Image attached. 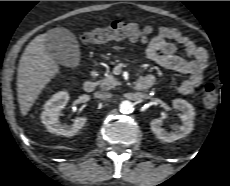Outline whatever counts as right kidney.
I'll return each mask as SVG.
<instances>
[{
  "mask_svg": "<svg viewBox=\"0 0 230 186\" xmlns=\"http://www.w3.org/2000/svg\"><path fill=\"white\" fill-rule=\"evenodd\" d=\"M69 101V94L66 91H60L54 94L44 105V111L41 114L42 123L46 126L50 133L73 136L86 123V117H78L74 123L69 126L61 124L59 121V113Z\"/></svg>",
  "mask_w": 230,
  "mask_h": 186,
  "instance_id": "right-kidney-1",
  "label": "right kidney"
}]
</instances>
